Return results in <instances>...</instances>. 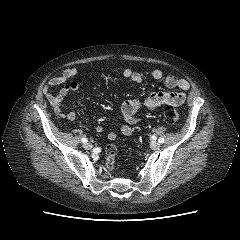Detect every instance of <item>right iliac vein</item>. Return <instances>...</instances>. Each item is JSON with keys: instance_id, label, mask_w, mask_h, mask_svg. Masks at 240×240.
I'll list each match as a JSON object with an SVG mask.
<instances>
[{"instance_id": "obj_1", "label": "right iliac vein", "mask_w": 240, "mask_h": 240, "mask_svg": "<svg viewBox=\"0 0 240 240\" xmlns=\"http://www.w3.org/2000/svg\"><path fill=\"white\" fill-rule=\"evenodd\" d=\"M93 145L91 143H85L84 144V148L87 149V150H90L92 149Z\"/></svg>"}]
</instances>
